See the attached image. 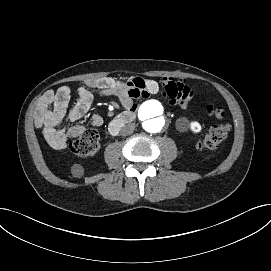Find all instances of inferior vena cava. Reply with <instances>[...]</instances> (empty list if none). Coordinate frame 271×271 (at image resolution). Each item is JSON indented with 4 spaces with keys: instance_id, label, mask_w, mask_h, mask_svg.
<instances>
[{
    "instance_id": "obj_1",
    "label": "inferior vena cava",
    "mask_w": 271,
    "mask_h": 271,
    "mask_svg": "<svg viewBox=\"0 0 271 271\" xmlns=\"http://www.w3.org/2000/svg\"><path fill=\"white\" fill-rule=\"evenodd\" d=\"M129 127H133L132 124H128L127 126H125V128H128V129Z\"/></svg>"
}]
</instances>
